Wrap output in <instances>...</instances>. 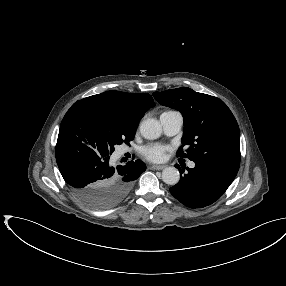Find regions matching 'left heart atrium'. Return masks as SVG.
<instances>
[{
  "label": "left heart atrium",
  "instance_id": "obj_1",
  "mask_svg": "<svg viewBox=\"0 0 286 286\" xmlns=\"http://www.w3.org/2000/svg\"><path fill=\"white\" fill-rule=\"evenodd\" d=\"M167 147L163 145H149L144 150V156L152 162H161L166 155Z\"/></svg>",
  "mask_w": 286,
  "mask_h": 286
}]
</instances>
